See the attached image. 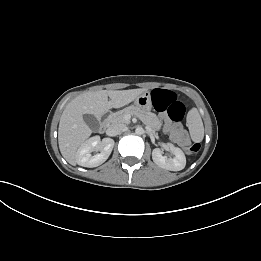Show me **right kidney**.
Listing matches in <instances>:
<instances>
[{
    "label": "right kidney",
    "mask_w": 261,
    "mask_h": 261,
    "mask_svg": "<svg viewBox=\"0 0 261 261\" xmlns=\"http://www.w3.org/2000/svg\"><path fill=\"white\" fill-rule=\"evenodd\" d=\"M114 147V141L110 138L100 140L99 136L86 140L77 150V164L83 167L93 168L104 163L110 156ZM100 151L92 155L91 152Z\"/></svg>",
    "instance_id": "right-kidney-1"
}]
</instances>
